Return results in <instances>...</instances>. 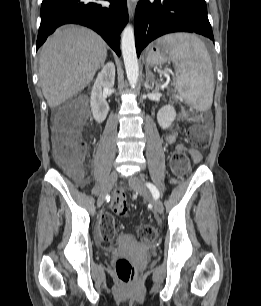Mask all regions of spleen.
I'll return each instance as SVG.
<instances>
[{
	"instance_id": "spleen-1",
	"label": "spleen",
	"mask_w": 261,
	"mask_h": 306,
	"mask_svg": "<svg viewBox=\"0 0 261 306\" xmlns=\"http://www.w3.org/2000/svg\"><path fill=\"white\" fill-rule=\"evenodd\" d=\"M169 47L175 64L174 86L187 104L197 110L211 108L214 93V74L205 44L189 33L168 34L157 41Z\"/></svg>"
}]
</instances>
